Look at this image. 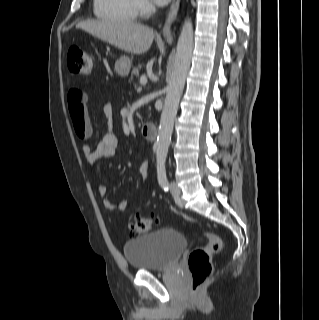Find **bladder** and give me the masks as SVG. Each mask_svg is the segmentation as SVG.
<instances>
[{
  "mask_svg": "<svg viewBox=\"0 0 319 320\" xmlns=\"http://www.w3.org/2000/svg\"><path fill=\"white\" fill-rule=\"evenodd\" d=\"M187 247L188 240L183 234L162 228L127 241L123 250L132 269L157 271L172 267Z\"/></svg>",
  "mask_w": 319,
  "mask_h": 320,
  "instance_id": "bladder-1",
  "label": "bladder"
}]
</instances>
